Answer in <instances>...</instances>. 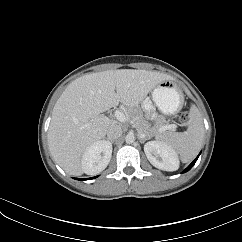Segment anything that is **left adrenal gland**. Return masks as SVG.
Listing matches in <instances>:
<instances>
[{
	"mask_svg": "<svg viewBox=\"0 0 242 242\" xmlns=\"http://www.w3.org/2000/svg\"><path fill=\"white\" fill-rule=\"evenodd\" d=\"M139 139H140V143H144L146 140H148L149 138H147V137H140L139 136Z\"/></svg>",
	"mask_w": 242,
	"mask_h": 242,
	"instance_id": "a2214340",
	"label": "left adrenal gland"
}]
</instances>
